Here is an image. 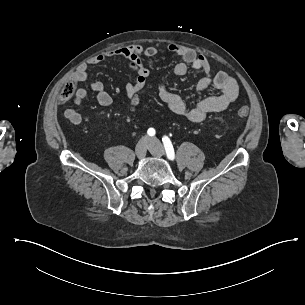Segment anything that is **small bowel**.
I'll list each match as a JSON object with an SVG mask.
<instances>
[{
    "instance_id": "c3829d8e",
    "label": "small bowel",
    "mask_w": 305,
    "mask_h": 305,
    "mask_svg": "<svg viewBox=\"0 0 305 305\" xmlns=\"http://www.w3.org/2000/svg\"><path fill=\"white\" fill-rule=\"evenodd\" d=\"M167 49L177 55L181 61L172 69L171 76L180 77L188 72V67L204 73V77L198 83L199 90L212 87L220 93L216 96H208L199 100L193 106H188L185 100L178 94L171 92L167 87V80H163L158 86V96L161 102L174 114L185 117L192 123H200L206 117L215 112L227 109L238 96V85L236 80L224 71L213 73L208 59L195 50L179 44H168ZM159 52L157 46H143L133 44L112 49L104 54L96 55L82 64L74 75V80L86 82L89 80L88 68L92 65L100 64L109 58H120L127 62V65L136 73L133 83H128L125 87L127 96L138 87H145L150 75V71L144 62V58H152ZM90 88L96 93L98 103L103 107L112 104L111 95L105 90L101 81H89ZM87 96V91L79 87L75 90L73 104L80 105ZM64 116L74 125L82 122L80 113L74 107H68L64 111Z\"/></svg>"
}]
</instances>
